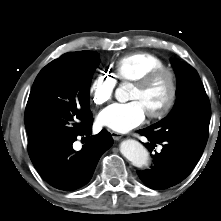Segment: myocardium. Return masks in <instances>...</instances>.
Instances as JSON below:
<instances>
[{"instance_id":"myocardium-1","label":"myocardium","mask_w":221,"mask_h":221,"mask_svg":"<svg viewBox=\"0 0 221 221\" xmlns=\"http://www.w3.org/2000/svg\"><path fill=\"white\" fill-rule=\"evenodd\" d=\"M161 77H166L169 82V95L161 109L147 113L152 119H162L173 109L178 96V81L176 73L172 69L164 66L147 72L134 82L135 86L144 89L152 85Z\"/></svg>"}]
</instances>
